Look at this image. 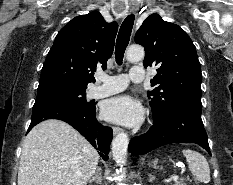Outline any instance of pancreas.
<instances>
[{
  "instance_id": "pancreas-1",
  "label": "pancreas",
  "mask_w": 233,
  "mask_h": 185,
  "mask_svg": "<svg viewBox=\"0 0 233 185\" xmlns=\"http://www.w3.org/2000/svg\"><path fill=\"white\" fill-rule=\"evenodd\" d=\"M174 185H186L182 180L176 181Z\"/></svg>"
}]
</instances>
